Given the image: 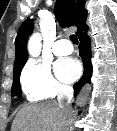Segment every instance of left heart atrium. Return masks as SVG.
Instances as JSON below:
<instances>
[{
	"label": "left heart atrium",
	"instance_id": "obj_1",
	"mask_svg": "<svg viewBox=\"0 0 117 131\" xmlns=\"http://www.w3.org/2000/svg\"><path fill=\"white\" fill-rule=\"evenodd\" d=\"M55 72L64 82H73L81 74V64L74 58H62L55 63Z\"/></svg>",
	"mask_w": 117,
	"mask_h": 131
}]
</instances>
